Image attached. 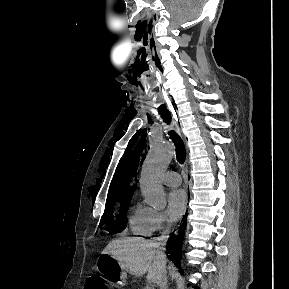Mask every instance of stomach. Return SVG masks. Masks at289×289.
I'll return each instance as SVG.
<instances>
[{
  "instance_id": "0dacf381",
  "label": "stomach",
  "mask_w": 289,
  "mask_h": 289,
  "mask_svg": "<svg viewBox=\"0 0 289 289\" xmlns=\"http://www.w3.org/2000/svg\"><path fill=\"white\" fill-rule=\"evenodd\" d=\"M96 270L111 279L114 285H125L126 283V272L112 255L102 254L99 256Z\"/></svg>"
}]
</instances>
